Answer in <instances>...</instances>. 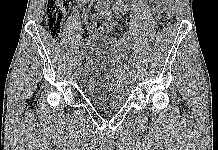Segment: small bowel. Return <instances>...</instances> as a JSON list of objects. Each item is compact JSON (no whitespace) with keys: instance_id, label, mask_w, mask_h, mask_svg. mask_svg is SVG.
I'll use <instances>...</instances> for the list:
<instances>
[{"instance_id":"small-bowel-1","label":"small bowel","mask_w":218,"mask_h":150,"mask_svg":"<svg viewBox=\"0 0 218 150\" xmlns=\"http://www.w3.org/2000/svg\"><path fill=\"white\" fill-rule=\"evenodd\" d=\"M76 1H78L80 3H87L89 0H76ZM153 2H154L153 11H156L158 8H160L162 6L170 8L172 5V0H153ZM115 10L119 13H122L125 11V5H124L123 0H118ZM96 23L88 28L89 31L96 30Z\"/></svg>"}]
</instances>
